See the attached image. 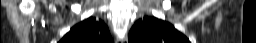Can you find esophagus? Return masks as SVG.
<instances>
[{
    "label": "esophagus",
    "mask_w": 256,
    "mask_h": 43,
    "mask_svg": "<svg viewBox=\"0 0 256 43\" xmlns=\"http://www.w3.org/2000/svg\"><path fill=\"white\" fill-rule=\"evenodd\" d=\"M116 43H128V39H127V36L126 37H124L123 39H117L116 40Z\"/></svg>",
    "instance_id": "obj_1"
}]
</instances>
